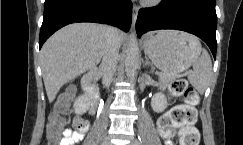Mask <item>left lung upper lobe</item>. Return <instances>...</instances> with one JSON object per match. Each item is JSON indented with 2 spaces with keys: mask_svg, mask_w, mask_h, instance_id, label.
Segmentation results:
<instances>
[{
  "mask_svg": "<svg viewBox=\"0 0 243 145\" xmlns=\"http://www.w3.org/2000/svg\"><path fill=\"white\" fill-rule=\"evenodd\" d=\"M198 1L208 2V3H211V4H215V0H198Z\"/></svg>",
  "mask_w": 243,
  "mask_h": 145,
  "instance_id": "obj_1",
  "label": "left lung upper lobe"
}]
</instances>
